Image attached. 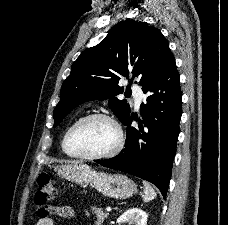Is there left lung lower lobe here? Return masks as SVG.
Segmentation results:
<instances>
[{
  "mask_svg": "<svg viewBox=\"0 0 228 225\" xmlns=\"http://www.w3.org/2000/svg\"><path fill=\"white\" fill-rule=\"evenodd\" d=\"M142 91L147 99L140 106L143 121L139 120V129L130 127L132 114L123 122L128 126L125 148L113 158L95 162L153 183L165 199L182 115V93L173 54Z\"/></svg>",
  "mask_w": 228,
  "mask_h": 225,
  "instance_id": "1",
  "label": "left lung lower lobe"
}]
</instances>
